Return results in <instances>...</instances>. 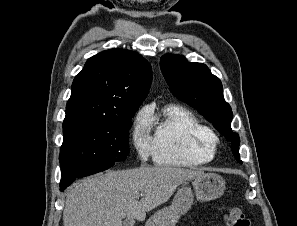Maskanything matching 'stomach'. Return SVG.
I'll use <instances>...</instances> for the list:
<instances>
[{
  "instance_id": "stomach-1",
  "label": "stomach",
  "mask_w": 297,
  "mask_h": 226,
  "mask_svg": "<svg viewBox=\"0 0 297 226\" xmlns=\"http://www.w3.org/2000/svg\"><path fill=\"white\" fill-rule=\"evenodd\" d=\"M191 184L193 189L184 183L175 194L172 205L157 211L145 226H175L180 216L191 208L194 195L200 201H210L221 197L225 189L224 179L214 173L204 174Z\"/></svg>"
}]
</instances>
